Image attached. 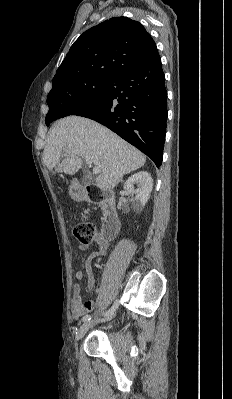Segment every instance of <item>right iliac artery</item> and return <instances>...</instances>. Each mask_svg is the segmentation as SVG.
Listing matches in <instances>:
<instances>
[{
	"mask_svg": "<svg viewBox=\"0 0 232 399\" xmlns=\"http://www.w3.org/2000/svg\"><path fill=\"white\" fill-rule=\"evenodd\" d=\"M118 306H119V300L117 299V300L114 302L113 306H112L109 310H107V311L104 313V316L112 315V314L115 312V310L118 308ZM91 318H92V317H91L90 314H86V315L82 318V321H83V323H86V322L90 321Z\"/></svg>",
	"mask_w": 232,
	"mask_h": 399,
	"instance_id": "right-iliac-artery-1",
	"label": "right iliac artery"
}]
</instances>
